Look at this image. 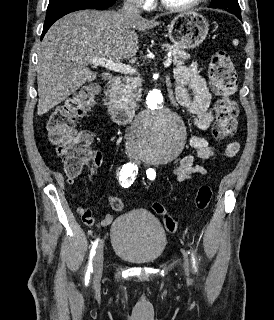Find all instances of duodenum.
Wrapping results in <instances>:
<instances>
[{
  "mask_svg": "<svg viewBox=\"0 0 274 320\" xmlns=\"http://www.w3.org/2000/svg\"><path fill=\"white\" fill-rule=\"evenodd\" d=\"M120 81L118 76L109 77L106 82L103 101L108 113L116 123L127 124L133 119L134 112L131 108L120 105L115 99L114 91L120 85Z\"/></svg>",
  "mask_w": 274,
  "mask_h": 320,
  "instance_id": "1",
  "label": "duodenum"
}]
</instances>
